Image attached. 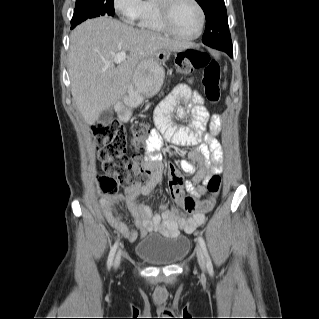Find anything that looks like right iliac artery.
<instances>
[{"label":"right iliac artery","mask_w":319,"mask_h":319,"mask_svg":"<svg viewBox=\"0 0 319 319\" xmlns=\"http://www.w3.org/2000/svg\"><path fill=\"white\" fill-rule=\"evenodd\" d=\"M116 249H117V242L113 245V247L110 250V253H109V256H108V261H107L108 269H110V267L112 265Z\"/></svg>","instance_id":"right-iliac-artery-1"}]
</instances>
